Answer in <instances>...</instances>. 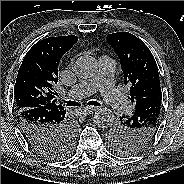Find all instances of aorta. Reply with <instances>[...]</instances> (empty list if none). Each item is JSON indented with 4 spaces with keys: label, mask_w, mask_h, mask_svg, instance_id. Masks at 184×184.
<instances>
[{
    "label": "aorta",
    "mask_w": 184,
    "mask_h": 184,
    "mask_svg": "<svg viewBox=\"0 0 184 184\" xmlns=\"http://www.w3.org/2000/svg\"><path fill=\"white\" fill-rule=\"evenodd\" d=\"M98 64L92 56H81L75 62V73L82 79H88L97 71ZM94 123L97 127L105 129L112 125L114 113L111 109L104 107L99 108L94 114Z\"/></svg>",
    "instance_id": "obj_1"
}]
</instances>
